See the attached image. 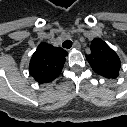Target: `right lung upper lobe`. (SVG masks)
Segmentation results:
<instances>
[{
    "label": "right lung upper lobe",
    "mask_w": 127,
    "mask_h": 127,
    "mask_svg": "<svg viewBox=\"0 0 127 127\" xmlns=\"http://www.w3.org/2000/svg\"><path fill=\"white\" fill-rule=\"evenodd\" d=\"M66 54L60 47L41 43L32 56L30 74L41 83L52 81L60 73Z\"/></svg>",
    "instance_id": "obj_1"
}]
</instances>
